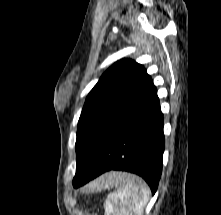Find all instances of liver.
Here are the masks:
<instances>
[{"label": "liver", "mask_w": 221, "mask_h": 215, "mask_svg": "<svg viewBox=\"0 0 221 215\" xmlns=\"http://www.w3.org/2000/svg\"><path fill=\"white\" fill-rule=\"evenodd\" d=\"M110 180H111V174H106L100 177L98 180H96V182H94L91 186L97 187V186L106 185Z\"/></svg>", "instance_id": "obj_1"}]
</instances>
